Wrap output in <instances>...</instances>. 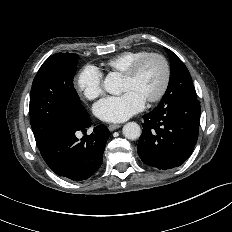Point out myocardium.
<instances>
[{
  "label": "myocardium",
  "mask_w": 232,
  "mask_h": 232,
  "mask_svg": "<svg viewBox=\"0 0 232 232\" xmlns=\"http://www.w3.org/2000/svg\"><path fill=\"white\" fill-rule=\"evenodd\" d=\"M149 59L158 60L161 63L162 68H163V81H162L160 89L155 95L146 99L147 102L154 103V102L161 100L164 97L170 85L171 69H170L169 62L164 55H162L161 53H157V52L145 53L144 55L139 57L129 66V68L124 72V77L130 78V79L134 78L139 72V70L141 69V67L143 66V64Z\"/></svg>",
  "instance_id": "f54148a6"
}]
</instances>
